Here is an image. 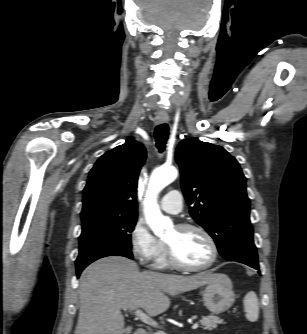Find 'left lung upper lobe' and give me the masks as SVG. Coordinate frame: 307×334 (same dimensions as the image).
I'll return each instance as SVG.
<instances>
[{
	"mask_svg": "<svg viewBox=\"0 0 307 334\" xmlns=\"http://www.w3.org/2000/svg\"><path fill=\"white\" fill-rule=\"evenodd\" d=\"M181 184L193 219L215 240L226 259L241 244H254L246 178L223 147L189 138L176 151Z\"/></svg>",
	"mask_w": 307,
	"mask_h": 334,
	"instance_id": "5c2ea615",
	"label": "left lung upper lobe"
}]
</instances>
